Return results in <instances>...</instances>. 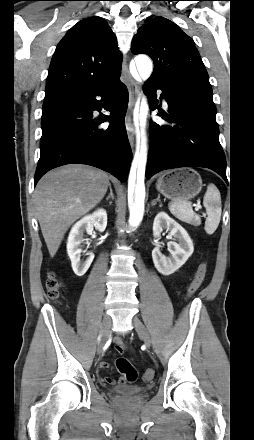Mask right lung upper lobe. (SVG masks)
Segmentation results:
<instances>
[{
    "instance_id": "cb5924a9",
    "label": "right lung upper lobe",
    "mask_w": 254,
    "mask_h": 440,
    "mask_svg": "<svg viewBox=\"0 0 254 440\" xmlns=\"http://www.w3.org/2000/svg\"><path fill=\"white\" fill-rule=\"evenodd\" d=\"M121 62L116 37L106 21L95 16L83 19L68 30L54 52L45 99L81 86L118 83Z\"/></svg>"
}]
</instances>
